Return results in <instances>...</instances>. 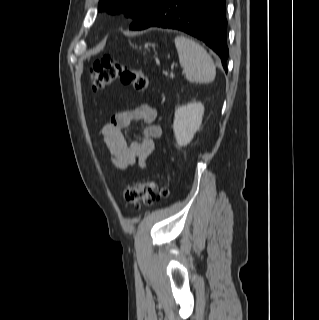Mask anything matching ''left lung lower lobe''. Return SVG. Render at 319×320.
<instances>
[{
  "label": "left lung lower lobe",
  "instance_id": "obj_1",
  "mask_svg": "<svg viewBox=\"0 0 319 320\" xmlns=\"http://www.w3.org/2000/svg\"><path fill=\"white\" fill-rule=\"evenodd\" d=\"M149 27L177 29L196 37L220 57L227 71L225 0H158L129 28Z\"/></svg>",
  "mask_w": 319,
  "mask_h": 320
}]
</instances>
